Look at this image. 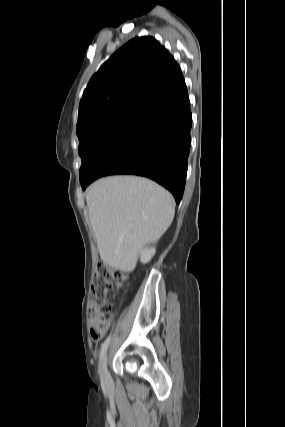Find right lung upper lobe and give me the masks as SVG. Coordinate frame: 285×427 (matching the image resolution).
<instances>
[{"label": "right lung upper lobe", "instance_id": "obj_1", "mask_svg": "<svg viewBox=\"0 0 285 427\" xmlns=\"http://www.w3.org/2000/svg\"><path fill=\"white\" fill-rule=\"evenodd\" d=\"M182 77L173 56L155 38L130 40L90 79L80 101L77 130L121 108L145 106Z\"/></svg>", "mask_w": 285, "mask_h": 427}]
</instances>
